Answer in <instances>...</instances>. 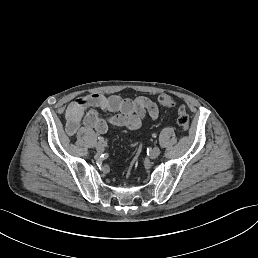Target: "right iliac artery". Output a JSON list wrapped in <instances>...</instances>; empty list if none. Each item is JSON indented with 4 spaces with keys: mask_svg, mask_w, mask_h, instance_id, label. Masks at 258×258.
<instances>
[{
    "mask_svg": "<svg viewBox=\"0 0 258 258\" xmlns=\"http://www.w3.org/2000/svg\"><path fill=\"white\" fill-rule=\"evenodd\" d=\"M98 140L101 141V142H103V141H104V138L101 137V136H98Z\"/></svg>",
    "mask_w": 258,
    "mask_h": 258,
    "instance_id": "1",
    "label": "right iliac artery"
}]
</instances>
